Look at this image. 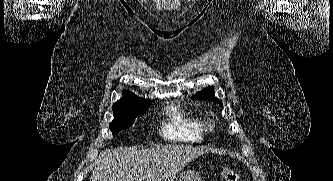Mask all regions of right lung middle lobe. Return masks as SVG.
<instances>
[{"label": "right lung middle lobe", "mask_w": 333, "mask_h": 181, "mask_svg": "<svg viewBox=\"0 0 333 181\" xmlns=\"http://www.w3.org/2000/svg\"><path fill=\"white\" fill-rule=\"evenodd\" d=\"M149 106L113 112L114 119L110 124L112 134L115 135L121 130L130 128L134 124L136 117L143 114Z\"/></svg>", "instance_id": "1"}]
</instances>
